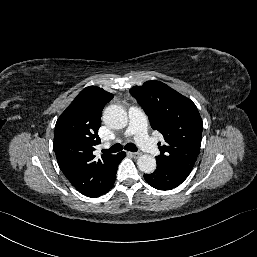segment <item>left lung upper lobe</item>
<instances>
[{"instance_id":"1","label":"left lung upper lobe","mask_w":257,"mask_h":257,"mask_svg":"<svg viewBox=\"0 0 257 257\" xmlns=\"http://www.w3.org/2000/svg\"><path fill=\"white\" fill-rule=\"evenodd\" d=\"M149 117L151 127L162 133L157 162L189 175L197 159L203 123L196 105L160 81H148L130 89ZM160 145V144H159Z\"/></svg>"}]
</instances>
